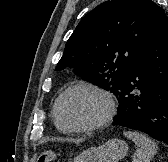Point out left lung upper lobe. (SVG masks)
<instances>
[{
    "label": "left lung upper lobe",
    "instance_id": "5c2ea615",
    "mask_svg": "<svg viewBox=\"0 0 168 162\" xmlns=\"http://www.w3.org/2000/svg\"><path fill=\"white\" fill-rule=\"evenodd\" d=\"M166 20L152 0L106 1L80 21L56 70L73 68L83 80L115 94Z\"/></svg>",
    "mask_w": 168,
    "mask_h": 162
}]
</instances>
